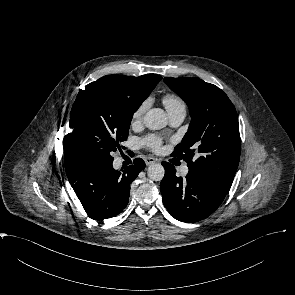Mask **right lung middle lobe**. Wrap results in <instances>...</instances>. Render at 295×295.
Masks as SVG:
<instances>
[{"instance_id": "1", "label": "right lung middle lobe", "mask_w": 295, "mask_h": 295, "mask_svg": "<svg viewBox=\"0 0 295 295\" xmlns=\"http://www.w3.org/2000/svg\"><path fill=\"white\" fill-rule=\"evenodd\" d=\"M146 77L107 75L85 86L75 100L64 151L77 164L113 160L124 148L134 112L148 97Z\"/></svg>"}]
</instances>
